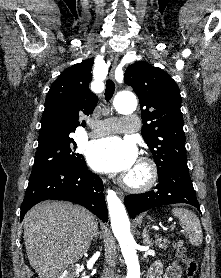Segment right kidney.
<instances>
[{
    "instance_id": "right-kidney-1",
    "label": "right kidney",
    "mask_w": 221,
    "mask_h": 278,
    "mask_svg": "<svg viewBox=\"0 0 221 278\" xmlns=\"http://www.w3.org/2000/svg\"><path fill=\"white\" fill-rule=\"evenodd\" d=\"M80 266L78 264L71 265L67 270H65L59 278H75L79 275Z\"/></svg>"
}]
</instances>
